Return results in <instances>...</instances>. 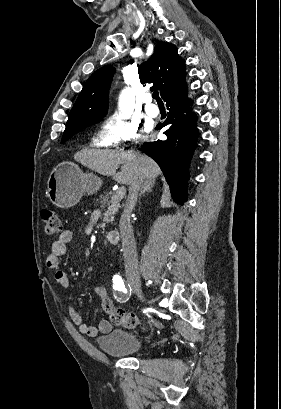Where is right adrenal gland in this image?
<instances>
[{
    "instance_id": "obj_1",
    "label": "right adrenal gland",
    "mask_w": 281,
    "mask_h": 409,
    "mask_svg": "<svg viewBox=\"0 0 281 409\" xmlns=\"http://www.w3.org/2000/svg\"><path fill=\"white\" fill-rule=\"evenodd\" d=\"M155 184V180H144V184L139 192V196H142L144 192H152V188Z\"/></svg>"
}]
</instances>
